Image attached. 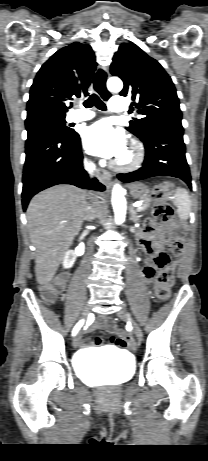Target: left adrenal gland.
<instances>
[{
    "label": "left adrenal gland",
    "instance_id": "left-adrenal-gland-1",
    "mask_svg": "<svg viewBox=\"0 0 208 461\" xmlns=\"http://www.w3.org/2000/svg\"><path fill=\"white\" fill-rule=\"evenodd\" d=\"M130 218L133 222H137L139 220V217L133 207H130Z\"/></svg>",
    "mask_w": 208,
    "mask_h": 461
}]
</instances>
